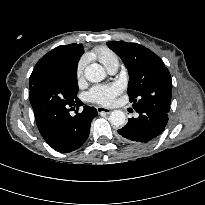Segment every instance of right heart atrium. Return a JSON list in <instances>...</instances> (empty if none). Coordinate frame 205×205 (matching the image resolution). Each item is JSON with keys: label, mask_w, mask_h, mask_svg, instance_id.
I'll return each mask as SVG.
<instances>
[{"label": "right heart atrium", "mask_w": 205, "mask_h": 205, "mask_svg": "<svg viewBox=\"0 0 205 205\" xmlns=\"http://www.w3.org/2000/svg\"><path fill=\"white\" fill-rule=\"evenodd\" d=\"M86 64H87V58L85 56H82L79 59L77 66H76V76L78 79L82 78Z\"/></svg>", "instance_id": "right-heart-atrium-1"}]
</instances>
